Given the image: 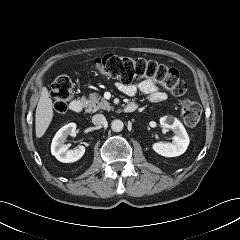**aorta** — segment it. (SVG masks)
Returning <instances> with one entry per match:
<instances>
[{
	"label": "aorta",
	"instance_id": "1",
	"mask_svg": "<svg viewBox=\"0 0 240 240\" xmlns=\"http://www.w3.org/2000/svg\"><path fill=\"white\" fill-rule=\"evenodd\" d=\"M123 122L119 119H116V120H113L111 122V129L114 131V132H120L123 130Z\"/></svg>",
	"mask_w": 240,
	"mask_h": 240
}]
</instances>
